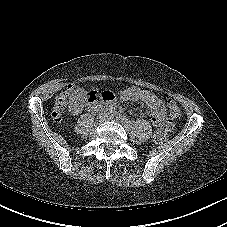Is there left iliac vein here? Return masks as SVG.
Masks as SVG:
<instances>
[{
    "mask_svg": "<svg viewBox=\"0 0 227 227\" xmlns=\"http://www.w3.org/2000/svg\"><path fill=\"white\" fill-rule=\"evenodd\" d=\"M116 121L119 122V123H121V124L126 128L127 131L130 130V129L127 127V125H126L124 122L121 121L120 118H116Z\"/></svg>",
    "mask_w": 227,
    "mask_h": 227,
    "instance_id": "obj_1",
    "label": "left iliac vein"
}]
</instances>
